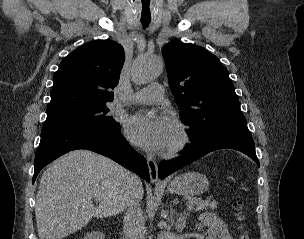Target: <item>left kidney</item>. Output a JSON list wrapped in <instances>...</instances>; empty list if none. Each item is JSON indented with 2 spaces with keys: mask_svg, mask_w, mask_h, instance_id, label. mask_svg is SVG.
<instances>
[{
  "mask_svg": "<svg viewBox=\"0 0 304 239\" xmlns=\"http://www.w3.org/2000/svg\"><path fill=\"white\" fill-rule=\"evenodd\" d=\"M197 228L207 227L208 239H233L223 220L214 213H204L199 216Z\"/></svg>",
  "mask_w": 304,
  "mask_h": 239,
  "instance_id": "left-kidney-1",
  "label": "left kidney"
}]
</instances>
